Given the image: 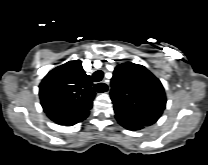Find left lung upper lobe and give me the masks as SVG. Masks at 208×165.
Here are the masks:
<instances>
[{
    "mask_svg": "<svg viewBox=\"0 0 208 165\" xmlns=\"http://www.w3.org/2000/svg\"><path fill=\"white\" fill-rule=\"evenodd\" d=\"M110 96L115 117L121 125L150 126L166 107V95L160 80L144 66L131 62L115 68Z\"/></svg>",
    "mask_w": 208,
    "mask_h": 165,
    "instance_id": "obj_1",
    "label": "left lung upper lobe"
}]
</instances>
